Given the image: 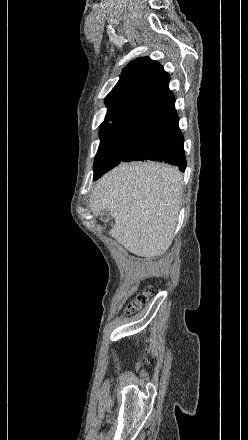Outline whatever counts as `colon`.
I'll return each mask as SVG.
<instances>
[{"label":"colon","instance_id":"colon-1","mask_svg":"<svg viewBox=\"0 0 248 440\" xmlns=\"http://www.w3.org/2000/svg\"><path fill=\"white\" fill-rule=\"evenodd\" d=\"M150 291L146 290L137 295V297L128 305L127 312L129 314L138 311L144 304L147 303Z\"/></svg>","mask_w":248,"mask_h":440}]
</instances>
